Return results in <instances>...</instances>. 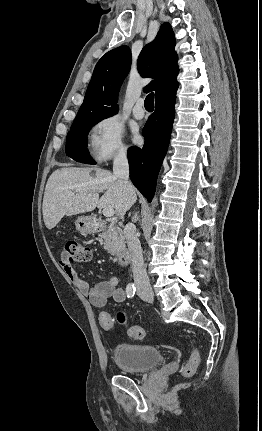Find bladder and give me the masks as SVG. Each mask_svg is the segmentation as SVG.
Returning <instances> with one entry per match:
<instances>
[{
  "instance_id": "obj_1",
  "label": "bladder",
  "mask_w": 262,
  "mask_h": 431,
  "mask_svg": "<svg viewBox=\"0 0 262 431\" xmlns=\"http://www.w3.org/2000/svg\"><path fill=\"white\" fill-rule=\"evenodd\" d=\"M163 351L152 344L125 343L115 348V361L119 369L131 373H143L162 364Z\"/></svg>"
}]
</instances>
